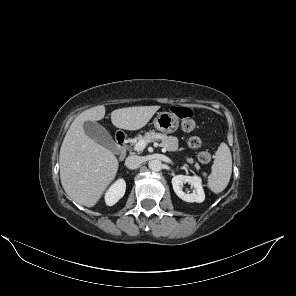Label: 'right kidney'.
Here are the masks:
<instances>
[{
	"label": "right kidney",
	"mask_w": 296,
	"mask_h": 296,
	"mask_svg": "<svg viewBox=\"0 0 296 296\" xmlns=\"http://www.w3.org/2000/svg\"><path fill=\"white\" fill-rule=\"evenodd\" d=\"M126 190V183L123 179H118L106 192L105 202L108 206L116 204L121 199Z\"/></svg>",
	"instance_id": "ca27d5eb"
}]
</instances>
